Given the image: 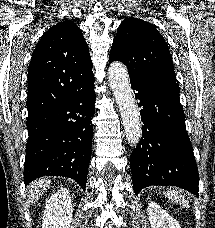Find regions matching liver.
Masks as SVG:
<instances>
[{
  "label": "liver",
  "mask_w": 215,
  "mask_h": 228,
  "mask_svg": "<svg viewBox=\"0 0 215 228\" xmlns=\"http://www.w3.org/2000/svg\"><path fill=\"white\" fill-rule=\"evenodd\" d=\"M50 184L51 180H35V182H31L26 188L30 204H35L45 194L46 190L50 188Z\"/></svg>",
  "instance_id": "obj_1"
}]
</instances>
